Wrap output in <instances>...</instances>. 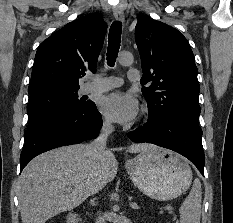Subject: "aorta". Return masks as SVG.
Masks as SVG:
<instances>
[{
    "mask_svg": "<svg viewBox=\"0 0 233 223\" xmlns=\"http://www.w3.org/2000/svg\"><path fill=\"white\" fill-rule=\"evenodd\" d=\"M133 60L134 58L132 54H130V56H120V58H118V62L121 66H131V64H133Z\"/></svg>",
    "mask_w": 233,
    "mask_h": 223,
    "instance_id": "obj_1",
    "label": "aorta"
}]
</instances>
